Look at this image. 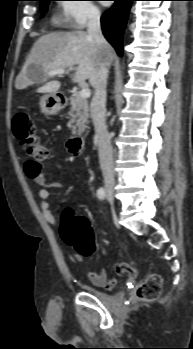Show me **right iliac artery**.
Instances as JSON below:
<instances>
[{
    "instance_id": "1",
    "label": "right iliac artery",
    "mask_w": 193,
    "mask_h": 349,
    "mask_svg": "<svg viewBox=\"0 0 193 349\" xmlns=\"http://www.w3.org/2000/svg\"><path fill=\"white\" fill-rule=\"evenodd\" d=\"M106 193H105V189L104 188H99L97 190V197L101 200L105 199Z\"/></svg>"
}]
</instances>
